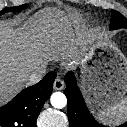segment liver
<instances>
[{
	"label": "liver",
	"instance_id": "obj_1",
	"mask_svg": "<svg viewBox=\"0 0 127 127\" xmlns=\"http://www.w3.org/2000/svg\"><path fill=\"white\" fill-rule=\"evenodd\" d=\"M68 17L47 8L17 28L0 22V106L27 87L31 73L55 53L71 60L68 66L79 58L77 47L85 42L69 32Z\"/></svg>",
	"mask_w": 127,
	"mask_h": 127
}]
</instances>
